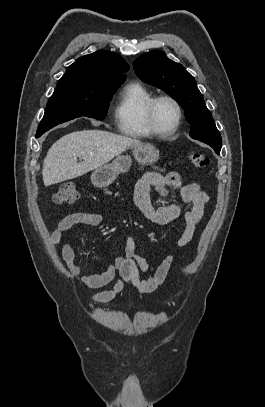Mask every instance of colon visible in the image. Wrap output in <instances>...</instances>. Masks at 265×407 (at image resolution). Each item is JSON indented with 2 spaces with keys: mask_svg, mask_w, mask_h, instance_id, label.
Wrapping results in <instances>:
<instances>
[{
  "mask_svg": "<svg viewBox=\"0 0 265 407\" xmlns=\"http://www.w3.org/2000/svg\"><path fill=\"white\" fill-rule=\"evenodd\" d=\"M188 156L191 163L200 169L206 168L210 163L209 156L202 152L190 151ZM79 198L80 194L76 186L72 183H64L54 193L53 202L55 204H72Z\"/></svg>",
  "mask_w": 265,
  "mask_h": 407,
  "instance_id": "1",
  "label": "colon"
}]
</instances>
